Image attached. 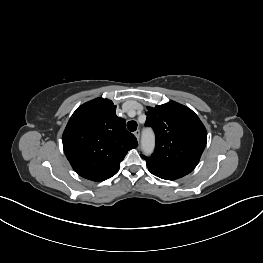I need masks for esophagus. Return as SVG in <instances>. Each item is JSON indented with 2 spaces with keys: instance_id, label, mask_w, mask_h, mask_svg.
I'll use <instances>...</instances> for the list:
<instances>
[{
  "instance_id": "esophagus-1",
  "label": "esophagus",
  "mask_w": 263,
  "mask_h": 263,
  "mask_svg": "<svg viewBox=\"0 0 263 263\" xmlns=\"http://www.w3.org/2000/svg\"><path fill=\"white\" fill-rule=\"evenodd\" d=\"M134 135H135L136 139L139 141V139H140V130H136L134 132Z\"/></svg>"
}]
</instances>
